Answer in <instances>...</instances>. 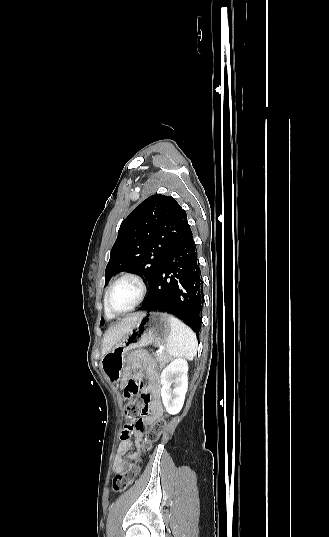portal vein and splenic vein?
Listing matches in <instances>:
<instances>
[{
  "label": "portal vein and splenic vein",
  "mask_w": 329,
  "mask_h": 537,
  "mask_svg": "<svg viewBox=\"0 0 329 537\" xmlns=\"http://www.w3.org/2000/svg\"><path fill=\"white\" fill-rule=\"evenodd\" d=\"M164 348L163 347H159V351H162Z\"/></svg>",
  "instance_id": "18ae733b"
}]
</instances>
